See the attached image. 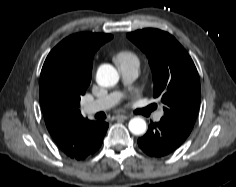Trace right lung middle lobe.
<instances>
[{
    "instance_id": "obj_1",
    "label": "right lung middle lobe",
    "mask_w": 236,
    "mask_h": 187,
    "mask_svg": "<svg viewBox=\"0 0 236 187\" xmlns=\"http://www.w3.org/2000/svg\"><path fill=\"white\" fill-rule=\"evenodd\" d=\"M77 101L80 103V97L77 98Z\"/></svg>"
}]
</instances>
